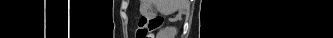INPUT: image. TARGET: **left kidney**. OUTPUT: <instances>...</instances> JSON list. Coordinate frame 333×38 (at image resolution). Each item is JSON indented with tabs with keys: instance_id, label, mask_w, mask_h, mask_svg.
<instances>
[{
	"instance_id": "5707ae66",
	"label": "left kidney",
	"mask_w": 333,
	"mask_h": 38,
	"mask_svg": "<svg viewBox=\"0 0 333 38\" xmlns=\"http://www.w3.org/2000/svg\"><path fill=\"white\" fill-rule=\"evenodd\" d=\"M176 33H177V30L173 26L166 27L161 31L162 35L168 36V37H174L176 35Z\"/></svg>"
}]
</instances>
